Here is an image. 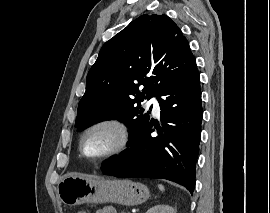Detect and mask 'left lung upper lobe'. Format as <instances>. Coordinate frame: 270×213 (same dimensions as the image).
I'll return each instance as SVG.
<instances>
[{
	"instance_id": "obj_1",
	"label": "left lung upper lobe",
	"mask_w": 270,
	"mask_h": 213,
	"mask_svg": "<svg viewBox=\"0 0 270 213\" xmlns=\"http://www.w3.org/2000/svg\"><path fill=\"white\" fill-rule=\"evenodd\" d=\"M195 63L188 41L167 15L140 16L101 48L88 72L75 126L81 131L118 119L130 129L129 139L135 137L150 119L140 103L157 97Z\"/></svg>"
}]
</instances>
